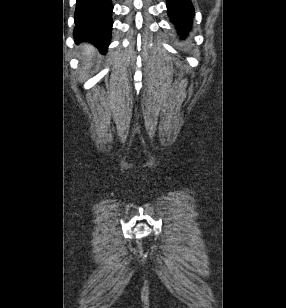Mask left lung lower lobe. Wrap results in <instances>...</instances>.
Wrapping results in <instances>:
<instances>
[{
  "label": "left lung lower lobe",
  "mask_w": 286,
  "mask_h": 308,
  "mask_svg": "<svg viewBox=\"0 0 286 308\" xmlns=\"http://www.w3.org/2000/svg\"><path fill=\"white\" fill-rule=\"evenodd\" d=\"M167 9L179 34L186 35L194 16V7L191 0H167Z\"/></svg>",
  "instance_id": "1"
}]
</instances>
